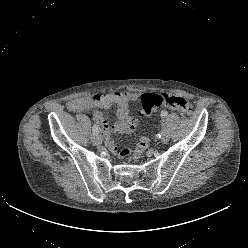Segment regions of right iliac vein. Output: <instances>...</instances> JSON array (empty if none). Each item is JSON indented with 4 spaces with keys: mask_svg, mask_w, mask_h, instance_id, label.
I'll list each match as a JSON object with an SVG mask.
<instances>
[{
    "mask_svg": "<svg viewBox=\"0 0 248 248\" xmlns=\"http://www.w3.org/2000/svg\"><path fill=\"white\" fill-rule=\"evenodd\" d=\"M91 140L97 146L101 145V143H102V138L98 133H96V134L93 133Z\"/></svg>",
    "mask_w": 248,
    "mask_h": 248,
    "instance_id": "1",
    "label": "right iliac vein"
}]
</instances>
